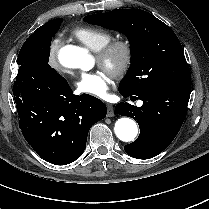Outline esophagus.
Wrapping results in <instances>:
<instances>
[{
    "label": "esophagus",
    "instance_id": "obj_1",
    "mask_svg": "<svg viewBox=\"0 0 209 209\" xmlns=\"http://www.w3.org/2000/svg\"><path fill=\"white\" fill-rule=\"evenodd\" d=\"M115 115L114 108L111 104H107V116L113 117Z\"/></svg>",
    "mask_w": 209,
    "mask_h": 209
}]
</instances>
